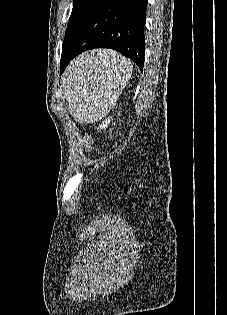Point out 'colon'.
Listing matches in <instances>:
<instances>
[{"mask_svg":"<svg viewBox=\"0 0 227 315\" xmlns=\"http://www.w3.org/2000/svg\"><path fill=\"white\" fill-rule=\"evenodd\" d=\"M85 140H86V142H88V141H89V138H88V137H86V139H85Z\"/></svg>","mask_w":227,"mask_h":315,"instance_id":"obj_1","label":"colon"}]
</instances>
